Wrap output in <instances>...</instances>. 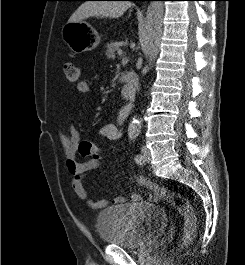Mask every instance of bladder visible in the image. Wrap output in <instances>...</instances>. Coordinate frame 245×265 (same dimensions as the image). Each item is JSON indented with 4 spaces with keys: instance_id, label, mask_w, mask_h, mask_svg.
Instances as JSON below:
<instances>
[{
    "instance_id": "bladder-1",
    "label": "bladder",
    "mask_w": 245,
    "mask_h": 265,
    "mask_svg": "<svg viewBox=\"0 0 245 265\" xmlns=\"http://www.w3.org/2000/svg\"><path fill=\"white\" fill-rule=\"evenodd\" d=\"M165 210L152 203H131L104 208L96 218L101 240L110 245L140 248L167 226Z\"/></svg>"
}]
</instances>
